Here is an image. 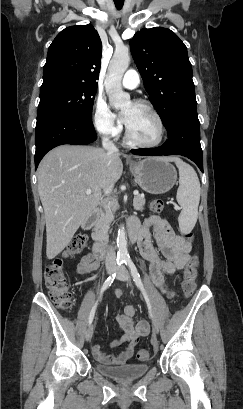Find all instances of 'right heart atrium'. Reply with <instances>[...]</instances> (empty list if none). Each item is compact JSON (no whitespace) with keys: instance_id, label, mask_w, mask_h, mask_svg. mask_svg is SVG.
Segmentation results:
<instances>
[{"instance_id":"right-heart-atrium-1","label":"right heart atrium","mask_w":243,"mask_h":409,"mask_svg":"<svg viewBox=\"0 0 243 409\" xmlns=\"http://www.w3.org/2000/svg\"><path fill=\"white\" fill-rule=\"evenodd\" d=\"M93 124L99 134L114 138L120 133V126L115 122L114 115L102 98H97L93 106Z\"/></svg>"}]
</instances>
